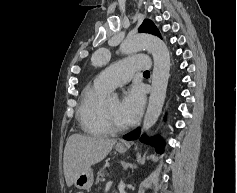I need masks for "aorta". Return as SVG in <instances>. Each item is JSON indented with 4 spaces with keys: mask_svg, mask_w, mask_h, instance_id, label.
<instances>
[{
    "mask_svg": "<svg viewBox=\"0 0 237 193\" xmlns=\"http://www.w3.org/2000/svg\"><path fill=\"white\" fill-rule=\"evenodd\" d=\"M120 49L124 54L147 49L154 60L151 93L142 126V131H147L156 123L164 105L170 76V54L166 44L160 38L145 33L127 36Z\"/></svg>",
    "mask_w": 237,
    "mask_h": 193,
    "instance_id": "aorta-1",
    "label": "aorta"
}]
</instances>
